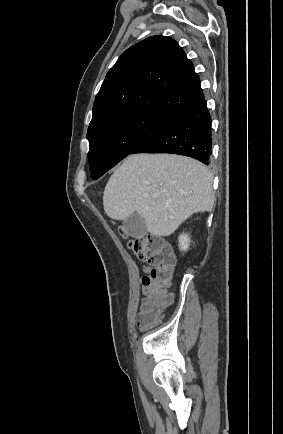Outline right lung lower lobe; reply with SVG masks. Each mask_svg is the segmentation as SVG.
Listing matches in <instances>:
<instances>
[{
    "label": "right lung lower lobe",
    "mask_w": 283,
    "mask_h": 434,
    "mask_svg": "<svg viewBox=\"0 0 283 434\" xmlns=\"http://www.w3.org/2000/svg\"><path fill=\"white\" fill-rule=\"evenodd\" d=\"M211 122L206 100L203 99L169 119L131 154L172 153L208 164L212 153Z\"/></svg>",
    "instance_id": "right-lung-lower-lobe-1"
}]
</instances>
